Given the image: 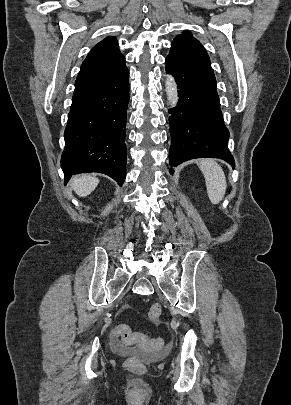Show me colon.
Returning <instances> with one entry per match:
<instances>
[{
  "mask_svg": "<svg viewBox=\"0 0 291 405\" xmlns=\"http://www.w3.org/2000/svg\"><path fill=\"white\" fill-rule=\"evenodd\" d=\"M162 314V307L154 304L149 310V319L156 321ZM112 337L127 345H137L145 351L156 350L162 347L163 341L159 338H149L144 334L133 332L126 324H118L114 327ZM144 365V360L138 356H131L126 360V366L137 369Z\"/></svg>",
  "mask_w": 291,
  "mask_h": 405,
  "instance_id": "5ec220e1",
  "label": "colon"
}]
</instances>
